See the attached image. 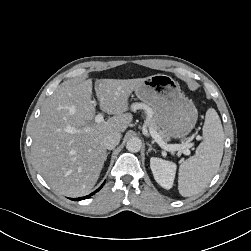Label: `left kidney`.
I'll return each mask as SVG.
<instances>
[{
  "label": "left kidney",
  "mask_w": 251,
  "mask_h": 251,
  "mask_svg": "<svg viewBox=\"0 0 251 251\" xmlns=\"http://www.w3.org/2000/svg\"><path fill=\"white\" fill-rule=\"evenodd\" d=\"M150 168L155 181L165 189H171L175 174L176 164L161 158L152 157L150 159Z\"/></svg>",
  "instance_id": "left-kidney-1"
}]
</instances>
